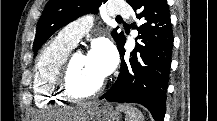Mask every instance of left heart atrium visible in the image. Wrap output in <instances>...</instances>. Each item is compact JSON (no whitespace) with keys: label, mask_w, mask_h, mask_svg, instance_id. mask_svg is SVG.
Listing matches in <instances>:
<instances>
[{"label":"left heart atrium","mask_w":217,"mask_h":121,"mask_svg":"<svg viewBox=\"0 0 217 121\" xmlns=\"http://www.w3.org/2000/svg\"><path fill=\"white\" fill-rule=\"evenodd\" d=\"M87 58L97 69L102 78L107 76L114 69L116 64L115 51L106 43L94 45L88 53Z\"/></svg>","instance_id":"obj_1"}]
</instances>
